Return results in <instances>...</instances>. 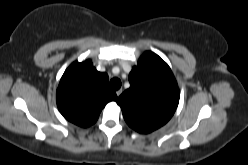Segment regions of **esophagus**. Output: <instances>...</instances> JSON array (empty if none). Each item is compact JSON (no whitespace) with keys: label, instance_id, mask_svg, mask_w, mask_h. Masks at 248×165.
<instances>
[{"label":"esophagus","instance_id":"34e87169","mask_svg":"<svg viewBox=\"0 0 248 165\" xmlns=\"http://www.w3.org/2000/svg\"><path fill=\"white\" fill-rule=\"evenodd\" d=\"M122 94V89L116 91V95L119 97Z\"/></svg>","mask_w":248,"mask_h":165}]
</instances>
